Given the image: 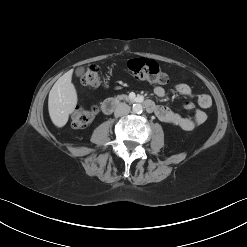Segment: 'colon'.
<instances>
[{"mask_svg": "<svg viewBox=\"0 0 247 247\" xmlns=\"http://www.w3.org/2000/svg\"><path fill=\"white\" fill-rule=\"evenodd\" d=\"M127 69L132 78L137 80H147L153 84L166 85L169 82V76L161 69L160 65L147 58L131 59L127 63ZM101 82L99 68L96 65L89 66L81 76V83L87 87H97ZM186 110H194L193 102H185ZM96 109H84L77 107L71 116V124L74 128H84L94 119Z\"/></svg>", "mask_w": 247, "mask_h": 247, "instance_id": "5ec220e1", "label": "colon"}]
</instances>
